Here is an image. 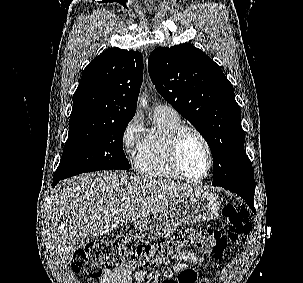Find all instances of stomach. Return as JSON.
Returning <instances> with one entry per match:
<instances>
[{"mask_svg": "<svg viewBox=\"0 0 303 283\" xmlns=\"http://www.w3.org/2000/svg\"><path fill=\"white\" fill-rule=\"evenodd\" d=\"M216 194L200 190L178 197L162 211L152 214L136 223L139 234L150 240L168 236L181 223L193 224L215 218L220 209Z\"/></svg>", "mask_w": 303, "mask_h": 283, "instance_id": "stomach-1", "label": "stomach"}]
</instances>
